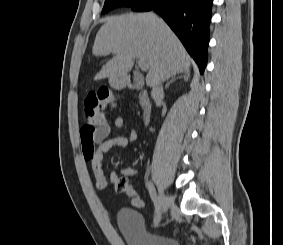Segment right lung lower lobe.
I'll list each match as a JSON object with an SVG mask.
<instances>
[{"label":"right lung lower lobe","mask_w":283,"mask_h":245,"mask_svg":"<svg viewBox=\"0 0 283 245\" xmlns=\"http://www.w3.org/2000/svg\"><path fill=\"white\" fill-rule=\"evenodd\" d=\"M213 0H142L132 10H154L179 37L188 53L204 72L207 64L209 23Z\"/></svg>","instance_id":"obj_1"}]
</instances>
